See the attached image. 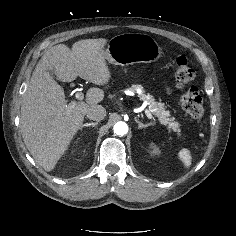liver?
I'll use <instances>...</instances> for the list:
<instances>
[{
	"mask_svg": "<svg viewBox=\"0 0 236 236\" xmlns=\"http://www.w3.org/2000/svg\"><path fill=\"white\" fill-rule=\"evenodd\" d=\"M104 38L75 42L70 49L59 44L48 49L36 65L21 104L20 128L34 160L52 171L81 128L86 111L104 99V91L90 88L84 102L65 99L62 82L78 76L95 85H106L111 72L106 65Z\"/></svg>",
	"mask_w": 236,
	"mask_h": 236,
	"instance_id": "liver-1",
	"label": "liver"
}]
</instances>
